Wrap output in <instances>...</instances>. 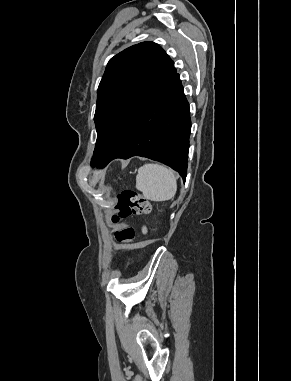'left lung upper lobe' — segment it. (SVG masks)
I'll use <instances>...</instances> for the list:
<instances>
[{
  "mask_svg": "<svg viewBox=\"0 0 291 381\" xmlns=\"http://www.w3.org/2000/svg\"><path fill=\"white\" fill-rule=\"evenodd\" d=\"M174 62L154 42L133 45L110 59L98 87L92 164H100L151 98L174 76Z\"/></svg>",
  "mask_w": 291,
  "mask_h": 381,
  "instance_id": "5c2ea615",
  "label": "left lung upper lobe"
}]
</instances>
